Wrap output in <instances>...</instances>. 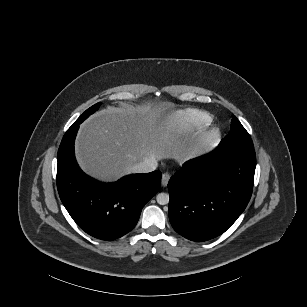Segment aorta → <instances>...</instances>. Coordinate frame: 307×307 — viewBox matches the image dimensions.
<instances>
[{
  "label": "aorta",
  "mask_w": 307,
  "mask_h": 307,
  "mask_svg": "<svg viewBox=\"0 0 307 307\" xmlns=\"http://www.w3.org/2000/svg\"><path fill=\"white\" fill-rule=\"evenodd\" d=\"M157 203L160 205H166L169 202V195L167 193H159L156 196Z\"/></svg>",
  "instance_id": "1"
}]
</instances>
